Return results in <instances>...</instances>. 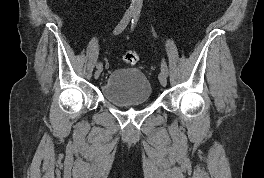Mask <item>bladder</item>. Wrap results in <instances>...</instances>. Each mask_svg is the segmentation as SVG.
Segmentation results:
<instances>
[{
	"label": "bladder",
	"instance_id": "1",
	"mask_svg": "<svg viewBox=\"0 0 264 178\" xmlns=\"http://www.w3.org/2000/svg\"><path fill=\"white\" fill-rule=\"evenodd\" d=\"M102 97L117 107L146 104L151 99V84L144 73L133 68L113 70L101 84Z\"/></svg>",
	"mask_w": 264,
	"mask_h": 178
}]
</instances>
